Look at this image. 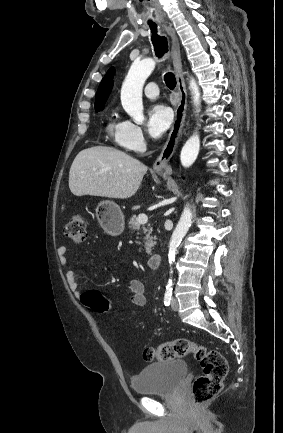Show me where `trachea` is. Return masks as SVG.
<instances>
[{
    "label": "trachea",
    "instance_id": "1",
    "mask_svg": "<svg viewBox=\"0 0 283 433\" xmlns=\"http://www.w3.org/2000/svg\"><path fill=\"white\" fill-rule=\"evenodd\" d=\"M151 40L154 46L156 57L161 59L168 52V41L166 37L158 34L157 25H150ZM165 83L170 90H174L176 86V78L174 73L168 72L164 76Z\"/></svg>",
    "mask_w": 283,
    "mask_h": 433
}]
</instances>
